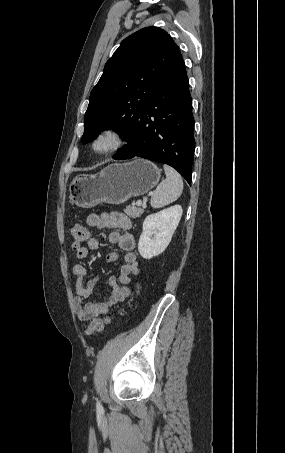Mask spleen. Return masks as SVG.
<instances>
[{
	"mask_svg": "<svg viewBox=\"0 0 285 453\" xmlns=\"http://www.w3.org/2000/svg\"><path fill=\"white\" fill-rule=\"evenodd\" d=\"M166 179L154 191L150 204L153 208H162L176 201L183 191V181L176 170L164 165Z\"/></svg>",
	"mask_w": 285,
	"mask_h": 453,
	"instance_id": "obj_1",
	"label": "spleen"
}]
</instances>
